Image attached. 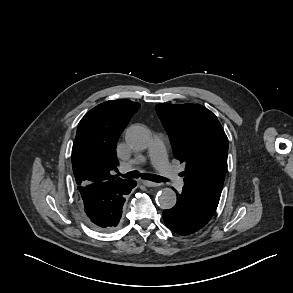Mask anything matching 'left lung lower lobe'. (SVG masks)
Listing matches in <instances>:
<instances>
[{
  "instance_id": "left-lung-lower-lobe-1",
  "label": "left lung lower lobe",
  "mask_w": 293,
  "mask_h": 293,
  "mask_svg": "<svg viewBox=\"0 0 293 293\" xmlns=\"http://www.w3.org/2000/svg\"><path fill=\"white\" fill-rule=\"evenodd\" d=\"M215 211V206L182 189L175 206L164 210L163 219L171 231L188 235L204 227Z\"/></svg>"
}]
</instances>
